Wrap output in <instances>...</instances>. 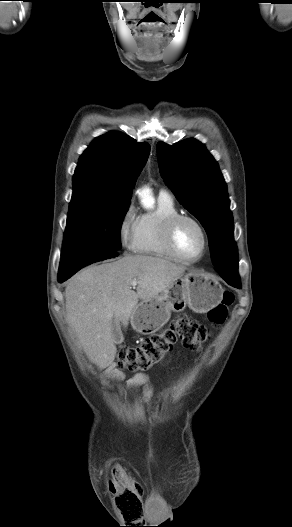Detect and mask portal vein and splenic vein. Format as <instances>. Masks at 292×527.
Segmentation results:
<instances>
[{
	"label": "portal vein and splenic vein",
	"instance_id": "18ae733b",
	"mask_svg": "<svg viewBox=\"0 0 292 527\" xmlns=\"http://www.w3.org/2000/svg\"><path fill=\"white\" fill-rule=\"evenodd\" d=\"M137 284H138L137 280H133V281L131 282V285H132L133 287H135Z\"/></svg>",
	"mask_w": 292,
	"mask_h": 527
}]
</instances>
